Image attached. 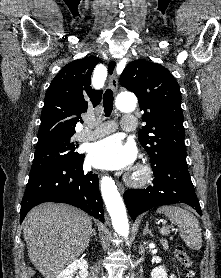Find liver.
<instances>
[{"instance_id": "liver-1", "label": "liver", "mask_w": 221, "mask_h": 278, "mask_svg": "<svg viewBox=\"0 0 221 278\" xmlns=\"http://www.w3.org/2000/svg\"><path fill=\"white\" fill-rule=\"evenodd\" d=\"M91 218L65 204L44 203L24 220L28 256L44 278H55L88 247Z\"/></svg>"}]
</instances>
